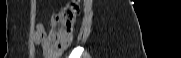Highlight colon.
<instances>
[{
  "mask_svg": "<svg viewBox=\"0 0 181 58\" xmlns=\"http://www.w3.org/2000/svg\"><path fill=\"white\" fill-rule=\"evenodd\" d=\"M78 4L73 1L66 4L51 20V32L45 40L47 48L54 52L65 50L72 40L73 29L78 12Z\"/></svg>",
  "mask_w": 181,
  "mask_h": 58,
  "instance_id": "5ec220e1",
  "label": "colon"
}]
</instances>
